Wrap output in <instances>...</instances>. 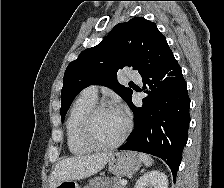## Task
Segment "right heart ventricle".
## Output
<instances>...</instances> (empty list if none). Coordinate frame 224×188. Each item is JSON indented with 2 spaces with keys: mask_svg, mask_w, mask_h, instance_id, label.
Wrapping results in <instances>:
<instances>
[{
  "mask_svg": "<svg viewBox=\"0 0 224 188\" xmlns=\"http://www.w3.org/2000/svg\"><path fill=\"white\" fill-rule=\"evenodd\" d=\"M96 104V98L81 93L72 104L66 120V140L69 151L75 155H83L93 148L82 139L81 125L87 112Z\"/></svg>",
  "mask_w": 224,
  "mask_h": 188,
  "instance_id": "1",
  "label": "right heart ventricle"
}]
</instances>
